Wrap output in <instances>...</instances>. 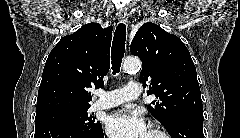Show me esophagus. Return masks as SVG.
Wrapping results in <instances>:
<instances>
[{
    "mask_svg": "<svg viewBox=\"0 0 240 138\" xmlns=\"http://www.w3.org/2000/svg\"><path fill=\"white\" fill-rule=\"evenodd\" d=\"M118 21L119 23L125 24L127 22V13L125 9H121L118 12Z\"/></svg>",
    "mask_w": 240,
    "mask_h": 138,
    "instance_id": "esophagus-1",
    "label": "esophagus"
}]
</instances>
